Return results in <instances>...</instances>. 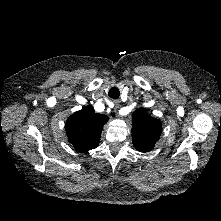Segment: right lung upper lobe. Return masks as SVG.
Wrapping results in <instances>:
<instances>
[{"label":"right lung upper lobe","instance_id":"obj_1","mask_svg":"<svg viewBox=\"0 0 221 221\" xmlns=\"http://www.w3.org/2000/svg\"><path fill=\"white\" fill-rule=\"evenodd\" d=\"M108 117L97 114L91 106L75 112L66 122L68 141L80 152L96 148L100 142L103 125Z\"/></svg>","mask_w":221,"mask_h":221}]
</instances>
